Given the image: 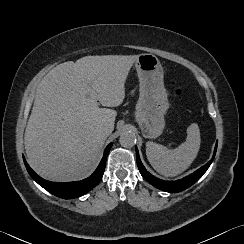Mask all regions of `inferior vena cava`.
Masks as SVG:
<instances>
[{"mask_svg":"<svg viewBox=\"0 0 244 244\" xmlns=\"http://www.w3.org/2000/svg\"><path fill=\"white\" fill-rule=\"evenodd\" d=\"M99 132L104 136H109L112 132V129L107 124H102L99 126Z\"/></svg>","mask_w":244,"mask_h":244,"instance_id":"602c4592","label":"inferior vena cava"}]
</instances>
